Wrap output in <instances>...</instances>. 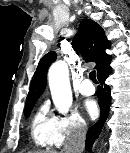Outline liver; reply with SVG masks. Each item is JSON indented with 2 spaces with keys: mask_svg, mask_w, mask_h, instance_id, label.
Here are the masks:
<instances>
[{
  "mask_svg": "<svg viewBox=\"0 0 130 153\" xmlns=\"http://www.w3.org/2000/svg\"><path fill=\"white\" fill-rule=\"evenodd\" d=\"M35 153H44V152H35Z\"/></svg>",
  "mask_w": 130,
  "mask_h": 153,
  "instance_id": "1",
  "label": "liver"
}]
</instances>
